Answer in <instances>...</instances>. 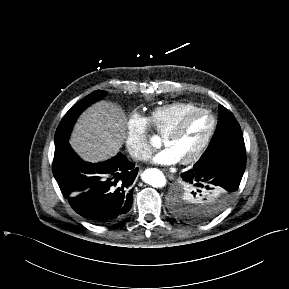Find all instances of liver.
I'll return each mask as SVG.
<instances>
[{
  "label": "liver",
  "instance_id": "6515ba94",
  "mask_svg": "<svg viewBox=\"0 0 289 289\" xmlns=\"http://www.w3.org/2000/svg\"><path fill=\"white\" fill-rule=\"evenodd\" d=\"M126 125V115L119 106L99 101L81 114L69 142L84 161L102 162L119 152Z\"/></svg>",
  "mask_w": 289,
  "mask_h": 289
}]
</instances>
